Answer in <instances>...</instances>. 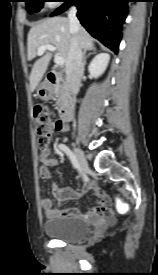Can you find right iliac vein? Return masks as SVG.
<instances>
[{"label":"right iliac vein","mask_w":158,"mask_h":275,"mask_svg":"<svg viewBox=\"0 0 158 275\" xmlns=\"http://www.w3.org/2000/svg\"><path fill=\"white\" fill-rule=\"evenodd\" d=\"M73 150H74V154H75V156H76V158H77V160H78L81 168L85 172H87L89 170V166H88V162H87V160H86L83 152L79 148H77V147H73Z\"/></svg>","instance_id":"obj_1"}]
</instances>
